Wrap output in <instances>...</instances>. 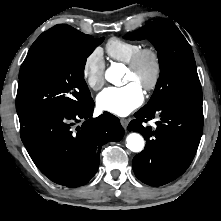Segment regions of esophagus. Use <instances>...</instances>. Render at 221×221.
<instances>
[{"label":"esophagus","instance_id":"obj_1","mask_svg":"<svg viewBox=\"0 0 221 221\" xmlns=\"http://www.w3.org/2000/svg\"><path fill=\"white\" fill-rule=\"evenodd\" d=\"M120 122H121V125L123 126V128L126 129L129 124V120L126 118H121Z\"/></svg>","mask_w":221,"mask_h":221}]
</instances>
